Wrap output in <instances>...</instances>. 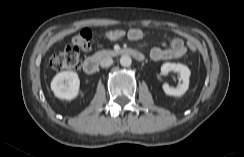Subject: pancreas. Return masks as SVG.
<instances>
[{
    "label": "pancreas",
    "mask_w": 244,
    "mask_h": 157,
    "mask_svg": "<svg viewBox=\"0 0 244 157\" xmlns=\"http://www.w3.org/2000/svg\"><path fill=\"white\" fill-rule=\"evenodd\" d=\"M114 52L111 51V50H102V51H98L94 54L95 57L97 58H102L104 56H110V55H113Z\"/></svg>",
    "instance_id": "cf45deb5"
}]
</instances>
